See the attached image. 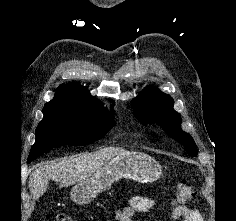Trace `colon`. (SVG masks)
<instances>
[{
  "label": "colon",
  "mask_w": 236,
  "mask_h": 221,
  "mask_svg": "<svg viewBox=\"0 0 236 221\" xmlns=\"http://www.w3.org/2000/svg\"><path fill=\"white\" fill-rule=\"evenodd\" d=\"M197 197L196 189L187 180H180L176 184V201L179 205H184L193 201ZM57 221H73V219L61 213L57 217Z\"/></svg>",
  "instance_id": "obj_1"
}]
</instances>
